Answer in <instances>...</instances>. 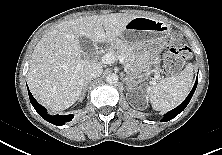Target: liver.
Masks as SVG:
<instances>
[{"label":"liver","instance_id":"liver-1","mask_svg":"<svg viewBox=\"0 0 222 155\" xmlns=\"http://www.w3.org/2000/svg\"><path fill=\"white\" fill-rule=\"evenodd\" d=\"M133 14L111 13L63 21L36 45L28 71V85L45 107L62 111L82 95L85 70L92 62L82 58L79 38L115 45Z\"/></svg>","mask_w":222,"mask_h":155}]
</instances>
